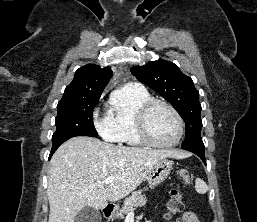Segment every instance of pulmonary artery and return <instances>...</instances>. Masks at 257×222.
Masks as SVG:
<instances>
[{
  "mask_svg": "<svg viewBox=\"0 0 257 222\" xmlns=\"http://www.w3.org/2000/svg\"><path fill=\"white\" fill-rule=\"evenodd\" d=\"M127 86L133 87V88L144 89L143 86L140 83H137V82L129 83Z\"/></svg>",
  "mask_w": 257,
  "mask_h": 222,
  "instance_id": "obj_1",
  "label": "pulmonary artery"
}]
</instances>
